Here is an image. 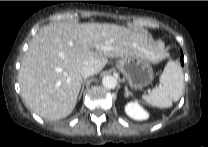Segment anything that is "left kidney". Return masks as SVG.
Segmentation results:
<instances>
[{
  "instance_id": "5707ae66",
  "label": "left kidney",
  "mask_w": 208,
  "mask_h": 147,
  "mask_svg": "<svg viewBox=\"0 0 208 147\" xmlns=\"http://www.w3.org/2000/svg\"><path fill=\"white\" fill-rule=\"evenodd\" d=\"M126 114L138 121L146 120L149 117V114L140 106L138 102H129L125 106Z\"/></svg>"
}]
</instances>
